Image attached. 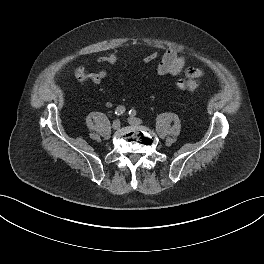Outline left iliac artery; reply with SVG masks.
Segmentation results:
<instances>
[{
    "label": "left iliac artery",
    "mask_w": 264,
    "mask_h": 264,
    "mask_svg": "<svg viewBox=\"0 0 264 264\" xmlns=\"http://www.w3.org/2000/svg\"><path fill=\"white\" fill-rule=\"evenodd\" d=\"M129 115H130L131 117L135 116V115H136V110L131 109V110L129 111Z\"/></svg>",
    "instance_id": "44dca946"
}]
</instances>
